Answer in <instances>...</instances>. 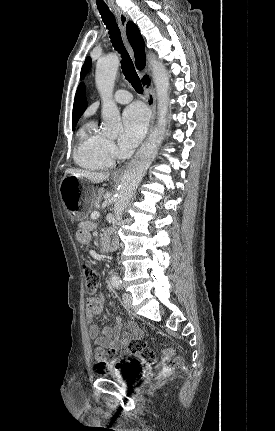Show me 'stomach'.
Returning a JSON list of instances; mask_svg holds the SVG:
<instances>
[{
	"label": "stomach",
	"instance_id": "0dacf381",
	"mask_svg": "<svg viewBox=\"0 0 275 431\" xmlns=\"http://www.w3.org/2000/svg\"><path fill=\"white\" fill-rule=\"evenodd\" d=\"M60 196L68 215L74 220L85 219L95 198L92 187H86L83 178L73 175L64 177L60 183Z\"/></svg>",
	"mask_w": 275,
	"mask_h": 431
}]
</instances>
